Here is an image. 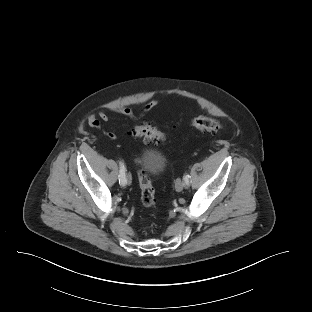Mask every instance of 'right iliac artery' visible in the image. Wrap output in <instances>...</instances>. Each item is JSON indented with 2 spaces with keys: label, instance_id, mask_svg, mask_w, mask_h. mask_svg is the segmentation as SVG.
<instances>
[{
  "label": "right iliac artery",
  "instance_id": "82829eb1",
  "mask_svg": "<svg viewBox=\"0 0 312 312\" xmlns=\"http://www.w3.org/2000/svg\"><path fill=\"white\" fill-rule=\"evenodd\" d=\"M120 170H119V183L120 185L122 186H125L126 185V177H125V166H124V163L121 161L120 163Z\"/></svg>",
  "mask_w": 312,
  "mask_h": 312
}]
</instances>
